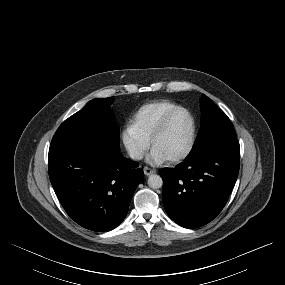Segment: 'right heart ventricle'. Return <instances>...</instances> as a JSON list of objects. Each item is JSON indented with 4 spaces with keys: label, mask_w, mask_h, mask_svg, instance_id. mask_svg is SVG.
<instances>
[{
    "label": "right heart ventricle",
    "mask_w": 285,
    "mask_h": 285,
    "mask_svg": "<svg viewBox=\"0 0 285 285\" xmlns=\"http://www.w3.org/2000/svg\"><path fill=\"white\" fill-rule=\"evenodd\" d=\"M178 106L177 103L167 99L147 102L140 106L133 114L131 124L143 138L149 141L163 116Z\"/></svg>",
    "instance_id": "right-heart-ventricle-1"
}]
</instances>
